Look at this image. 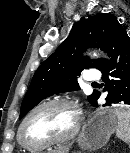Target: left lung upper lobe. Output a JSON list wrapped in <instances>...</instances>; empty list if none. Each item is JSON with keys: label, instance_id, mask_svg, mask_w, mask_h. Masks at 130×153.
<instances>
[{"label": "left lung upper lobe", "instance_id": "1", "mask_svg": "<svg viewBox=\"0 0 130 153\" xmlns=\"http://www.w3.org/2000/svg\"><path fill=\"white\" fill-rule=\"evenodd\" d=\"M117 19L109 14H96L74 23L69 36L37 69L22 101L19 119L48 96L80 90L77 77L87 68L100 69L106 59L91 60L81 56L86 48L107 49L116 35L123 31ZM94 91L88 100L93 104L99 96Z\"/></svg>", "mask_w": 130, "mask_h": 153}]
</instances>
